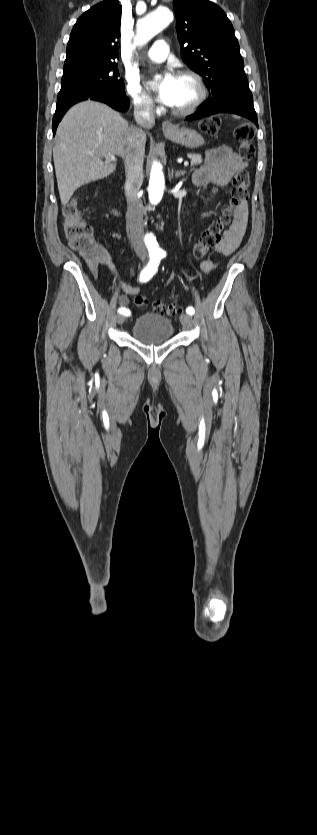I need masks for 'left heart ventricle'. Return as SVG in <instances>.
Masks as SVG:
<instances>
[{
	"label": "left heart ventricle",
	"instance_id": "left-heart-ventricle-1",
	"mask_svg": "<svg viewBox=\"0 0 317 835\" xmlns=\"http://www.w3.org/2000/svg\"><path fill=\"white\" fill-rule=\"evenodd\" d=\"M196 96V88L193 82L189 79L177 77V87L173 104L174 108H183L188 106Z\"/></svg>",
	"mask_w": 317,
	"mask_h": 835
}]
</instances>
